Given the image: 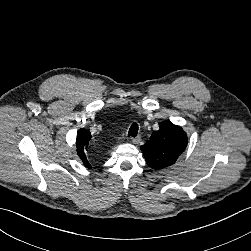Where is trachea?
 <instances>
[{"instance_id": "3493384b", "label": "trachea", "mask_w": 251, "mask_h": 251, "mask_svg": "<svg viewBox=\"0 0 251 251\" xmlns=\"http://www.w3.org/2000/svg\"><path fill=\"white\" fill-rule=\"evenodd\" d=\"M137 133H138V124L133 123L128 131V136L129 137H136Z\"/></svg>"}]
</instances>
